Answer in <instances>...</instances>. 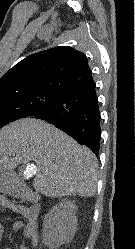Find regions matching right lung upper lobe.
Returning a JSON list of instances; mask_svg holds the SVG:
<instances>
[{"instance_id":"cb5924a9","label":"right lung upper lobe","mask_w":135,"mask_h":249,"mask_svg":"<svg viewBox=\"0 0 135 249\" xmlns=\"http://www.w3.org/2000/svg\"><path fill=\"white\" fill-rule=\"evenodd\" d=\"M86 55L68 46L32 54L0 78V96L31 91L65 92L91 83Z\"/></svg>"}]
</instances>
